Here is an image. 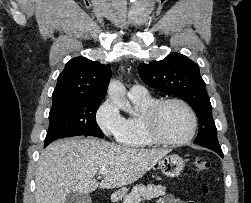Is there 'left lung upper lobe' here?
I'll return each mask as SVG.
<instances>
[{
    "mask_svg": "<svg viewBox=\"0 0 251 203\" xmlns=\"http://www.w3.org/2000/svg\"><path fill=\"white\" fill-rule=\"evenodd\" d=\"M138 72L150 87L180 97L195 110L199 120L195 144L206 148H220L212 106L199 66L179 53H172L161 61L140 63Z\"/></svg>",
    "mask_w": 251,
    "mask_h": 203,
    "instance_id": "left-lung-upper-lobe-1",
    "label": "left lung upper lobe"
}]
</instances>
